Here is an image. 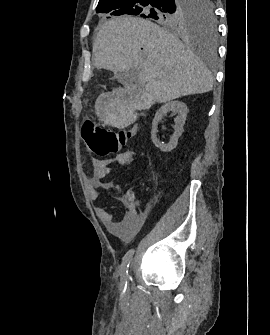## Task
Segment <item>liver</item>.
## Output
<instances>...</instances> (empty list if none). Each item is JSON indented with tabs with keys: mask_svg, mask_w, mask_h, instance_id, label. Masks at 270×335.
Here are the masks:
<instances>
[{
	"mask_svg": "<svg viewBox=\"0 0 270 335\" xmlns=\"http://www.w3.org/2000/svg\"><path fill=\"white\" fill-rule=\"evenodd\" d=\"M143 48L145 58L140 56ZM98 70L138 74L145 106L212 90L213 78L179 38L143 18L118 16L100 26L93 44Z\"/></svg>",
	"mask_w": 270,
	"mask_h": 335,
	"instance_id": "6515ba94",
	"label": "liver"
}]
</instances>
